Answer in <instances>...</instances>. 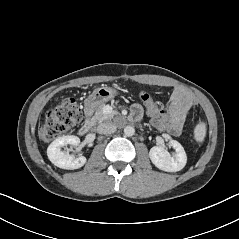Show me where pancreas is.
Returning <instances> with one entry per match:
<instances>
[{
	"instance_id": "pancreas-1",
	"label": "pancreas",
	"mask_w": 239,
	"mask_h": 239,
	"mask_svg": "<svg viewBox=\"0 0 239 239\" xmlns=\"http://www.w3.org/2000/svg\"><path fill=\"white\" fill-rule=\"evenodd\" d=\"M104 108H105V105L101 106L95 112V115L92 117V121L94 123H101L103 121H110L114 117L115 113H110V114L104 113Z\"/></svg>"
}]
</instances>
